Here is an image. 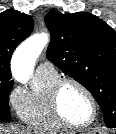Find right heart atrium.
Returning a JSON list of instances; mask_svg holds the SVG:
<instances>
[{
  "mask_svg": "<svg viewBox=\"0 0 116 134\" xmlns=\"http://www.w3.org/2000/svg\"><path fill=\"white\" fill-rule=\"evenodd\" d=\"M22 95H23V92L19 89H13L11 91V94H10L11 102L13 103L15 107H17L18 101L20 100Z\"/></svg>",
  "mask_w": 116,
  "mask_h": 134,
  "instance_id": "right-heart-atrium-1",
  "label": "right heart atrium"
}]
</instances>
